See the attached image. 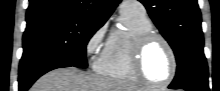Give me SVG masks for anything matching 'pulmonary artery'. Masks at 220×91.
Listing matches in <instances>:
<instances>
[{"mask_svg":"<svg viewBox=\"0 0 220 91\" xmlns=\"http://www.w3.org/2000/svg\"><path fill=\"white\" fill-rule=\"evenodd\" d=\"M121 13L145 15V8L139 1H124L120 8Z\"/></svg>","mask_w":220,"mask_h":91,"instance_id":"e3ab8cb5","label":"pulmonary artery"}]
</instances>
